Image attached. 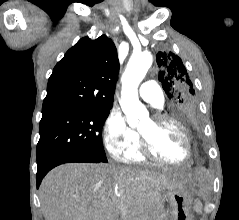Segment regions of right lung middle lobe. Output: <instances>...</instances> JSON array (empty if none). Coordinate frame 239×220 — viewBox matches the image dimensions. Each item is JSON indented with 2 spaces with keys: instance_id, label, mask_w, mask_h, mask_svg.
Segmentation results:
<instances>
[{
  "instance_id": "obj_1",
  "label": "right lung middle lobe",
  "mask_w": 239,
  "mask_h": 220,
  "mask_svg": "<svg viewBox=\"0 0 239 220\" xmlns=\"http://www.w3.org/2000/svg\"><path fill=\"white\" fill-rule=\"evenodd\" d=\"M110 109L63 110L42 114L37 164L56 156H84L107 162L102 128Z\"/></svg>"
}]
</instances>
